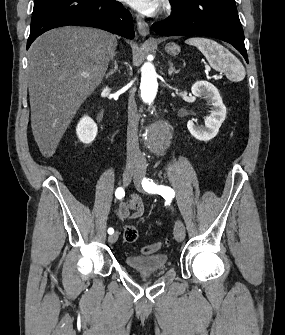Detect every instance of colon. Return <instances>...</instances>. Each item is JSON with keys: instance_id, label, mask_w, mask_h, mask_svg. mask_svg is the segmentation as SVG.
Masks as SVG:
<instances>
[{"instance_id": "obj_1", "label": "colon", "mask_w": 285, "mask_h": 335, "mask_svg": "<svg viewBox=\"0 0 285 335\" xmlns=\"http://www.w3.org/2000/svg\"><path fill=\"white\" fill-rule=\"evenodd\" d=\"M138 238V230L135 226L133 225H128L124 228L123 231V239L127 243H133L137 240ZM164 246V242H155L149 245L144 246L141 249V252L143 254H151L159 251L162 247Z\"/></svg>"}]
</instances>
